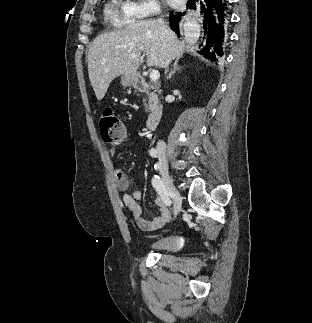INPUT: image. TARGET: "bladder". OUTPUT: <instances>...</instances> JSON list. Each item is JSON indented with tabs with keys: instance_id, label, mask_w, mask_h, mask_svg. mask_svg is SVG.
I'll return each mask as SVG.
<instances>
[{
	"instance_id": "1",
	"label": "bladder",
	"mask_w": 312,
	"mask_h": 323,
	"mask_svg": "<svg viewBox=\"0 0 312 323\" xmlns=\"http://www.w3.org/2000/svg\"><path fill=\"white\" fill-rule=\"evenodd\" d=\"M152 248H157L161 251H174L178 249L174 235H166L158 239L152 240L149 244Z\"/></svg>"
}]
</instances>
